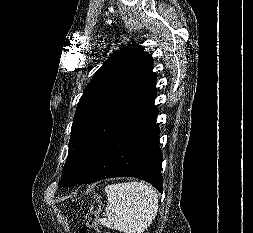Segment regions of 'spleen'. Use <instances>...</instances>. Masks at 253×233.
<instances>
[{"label":"spleen","mask_w":253,"mask_h":233,"mask_svg":"<svg viewBox=\"0 0 253 233\" xmlns=\"http://www.w3.org/2000/svg\"><path fill=\"white\" fill-rule=\"evenodd\" d=\"M106 218L98 219L107 228L123 233H143L158 212L156 191L143 182H125L105 187Z\"/></svg>","instance_id":"spleen-1"}]
</instances>
